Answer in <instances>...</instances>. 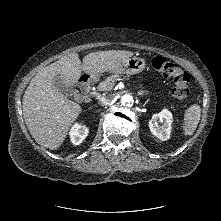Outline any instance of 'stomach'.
Wrapping results in <instances>:
<instances>
[{"label":"stomach","mask_w":221,"mask_h":221,"mask_svg":"<svg viewBox=\"0 0 221 221\" xmlns=\"http://www.w3.org/2000/svg\"><path fill=\"white\" fill-rule=\"evenodd\" d=\"M146 67V61L143 58H128L112 72L117 74L133 75L142 72Z\"/></svg>","instance_id":"0dacf381"}]
</instances>
